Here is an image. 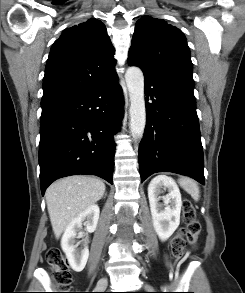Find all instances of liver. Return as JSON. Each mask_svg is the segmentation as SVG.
Returning <instances> with one entry per match:
<instances>
[{
  "label": "liver",
  "mask_w": 245,
  "mask_h": 293,
  "mask_svg": "<svg viewBox=\"0 0 245 293\" xmlns=\"http://www.w3.org/2000/svg\"><path fill=\"white\" fill-rule=\"evenodd\" d=\"M104 192L103 181L89 176H70L50 185L45 197L55 237L58 239L71 220L99 201Z\"/></svg>",
  "instance_id": "6515ba94"
}]
</instances>
